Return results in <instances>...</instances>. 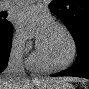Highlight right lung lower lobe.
<instances>
[{"instance_id":"obj_1","label":"right lung lower lobe","mask_w":89,"mask_h":89,"mask_svg":"<svg viewBox=\"0 0 89 89\" xmlns=\"http://www.w3.org/2000/svg\"><path fill=\"white\" fill-rule=\"evenodd\" d=\"M13 26L0 33V72L4 71L8 64V59L12 44Z\"/></svg>"}]
</instances>
